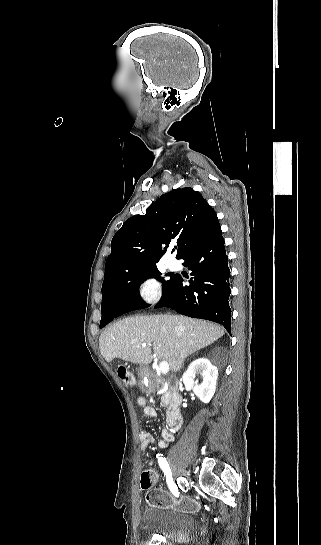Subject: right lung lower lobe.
Instances as JSON below:
<instances>
[{
	"instance_id": "obj_1",
	"label": "right lung lower lobe",
	"mask_w": 321,
	"mask_h": 545,
	"mask_svg": "<svg viewBox=\"0 0 321 545\" xmlns=\"http://www.w3.org/2000/svg\"><path fill=\"white\" fill-rule=\"evenodd\" d=\"M221 227L218 226L183 258L184 265L194 276L184 285L181 275L175 274L155 308L169 307L176 312L222 324L231 332V309L228 299L230 270ZM144 302L131 295H111L102 305V318L107 325L123 313L146 308Z\"/></svg>"
}]
</instances>
